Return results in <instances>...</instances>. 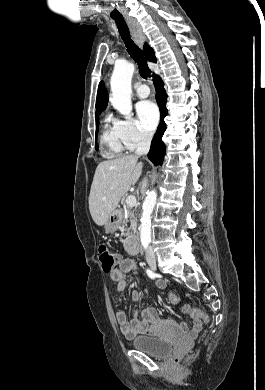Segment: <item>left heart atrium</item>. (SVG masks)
<instances>
[{
	"label": "left heart atrium",
	"mask_w": 265,
	"mask_h": 390,
	"mask_svg": "<svg viewBox=\"0 0 265 390\" xmlns=\"http://www.w3.org/2000/svg\"><path fill=\"white\" fill-rule=\"evenodd\" d=\"M136 112L140 126L146 131H153L159 120V113L156 105L151 101L139 102Z\"/></svg>",
	"instance_id": "1"
}]
</instances>
